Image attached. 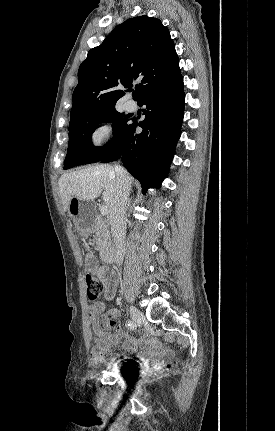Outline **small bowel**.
I'll use <instances>...</instances> for the list:
<instances>
[{
	"mask_svg": "<svg viewBox=\"0 0 275 431\" xmlns=\"http://www.w3.org/2000/svg\"><path fill=\"white\" fill-rule=\"evenodd\" d=\"M86 264L102 280L104 299L111 301L118 284L115 273L106 267H97L90 254L86 257ZM89 317L94 342L91 357L95 363L115 362L120 357V353L116 351L120 341L124 351L136 353L140 361L145 364L152 362L156 368L162 367L173 356V352L165 349L160 341L151 339L147 335L135 336L129 333L118 320V310L115 308L105 310L103 302L89 306ZM111 329H115L116 332L111 333Z\"/></svg>",
	"mask_w": 275,
	"mask_h": 431,
	"instance_id": "small-bowel-1",
	"label": "small bowel"
}]
</instances>
